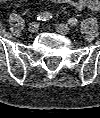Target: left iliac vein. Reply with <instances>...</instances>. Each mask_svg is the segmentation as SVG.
<instances>
[{
  "mask_svg": "<svg viewBox=\"0 0 100 118\" xmlns=\"http://www.w3.org/2000/svg\"><path fill=\"white\" fill-rule=\"evenodd\" d=\"M56 30L63 35H67L70 32V28L66 24H57Z\"/></svg>",
  "mask_w": 100,
  "mask_h": 118,
  "instance_id": "4c4485c4",
  "label": "left iliac vein"
}]
</instances>
